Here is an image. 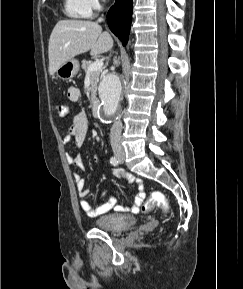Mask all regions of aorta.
Segmentation results:
<instances>
[{
    "label": "aorta",
    "mask_w": 243,
    "mask_h": 289,
    "mask_svg": "<svg viewBox=\"0 0 243 289\" xmlns=\"http://www.w3.org/2000/svg\"><path fill=\"white\" fill-rule=\"evenodd\" d=\"M122 94V83L116 74H107L101 81L99 97L101 110L105 119L109 120L117 113Z\"/></svg>",
    "instance_id": "obj_1"
}]
</instances>
